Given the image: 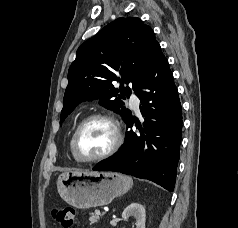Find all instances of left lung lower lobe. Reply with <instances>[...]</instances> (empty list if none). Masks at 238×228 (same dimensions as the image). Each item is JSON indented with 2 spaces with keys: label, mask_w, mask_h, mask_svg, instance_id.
Returning <instances> with one entry per match:
<instances>
[{
  "label": "left lung lower lobe",
  "mask_w": 238,
  "mask_h": 228,
  "mask_svg": "<svg viewBox=\"0 0 238 228\" xmlns=\"http://www.w3.org/2000/svg\"><path fill=\"white\" fill-rule=\"evenodd\" d=\"M135 93L143 104L140 111L145 117L141 135L131 129L136 121L131 115L125 121L128 130L121 149L93 170L148 179L173 191L182 137V111L173 74L160 47L148 63Z\"/></svg>",
  "instance_id": "0a47b994"
}]
</instances>
